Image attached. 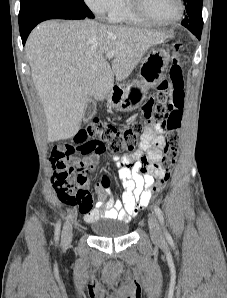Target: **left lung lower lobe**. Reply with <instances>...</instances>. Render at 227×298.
I'll return each instance as SVG.
<instances>
[{"label": "left lung lower lobe", "instance_id": "obj_1", "mask_svg": "<svg viewBox=\"0 0 227 298\" xmlns=\"http://www.w3.org/2000/svg\"><path fill=\"white\" fill-rule=\"evenodd\" d=\"M196 36H197V38H198V39H200V37H201V34H197Z\"/></svg>", "mask_w": 227, "mask_h": 298}]
</instances>
